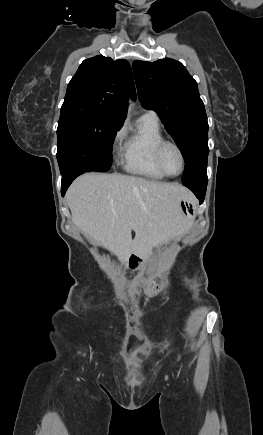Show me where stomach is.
Returning <instances> with one entry per match:
<instances>
[{
	"label": "stomach",
	"instance_id": "obj_1",
	"mask_svg": "<svg viewBox=\"0 0 263 435\" xmlns=\"http://www.w3.org/2000/svg\"><path fill=\"white\" fill-rule=\"evenodd\" d=\"M180 210L182 214L186 217L192 219L194 217V204L190 196L188 198H182L179 202ZM142 261V257L132 254L128 260V266L134 268L135 265H140Z\"/></svg>",
	"mask_w": 263,
	"mask_h": 435
}]
</instances>
